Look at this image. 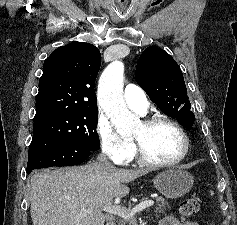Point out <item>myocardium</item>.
Returning a JSON list of instances; mask_svg holds the SVG:
<instances>
[{
    "mask_svg": "<svg viewBox=\"0 0 237 225\" xmlns=\"http://www.w3.org/2000/svg\"><path fill=\"white\" fill-rule=\"evenodd\" d=\"M142 125L146 129H150L157 125H168V126L173 127L182 138L183 150L180 153V155L176 157L175 159L168 160V161H160V160H155L146 156L141 145L136 140H133L134 156L138 160V162L147 166H152V167H170L184 160V158L187 156L189 152L190 141H189L187 133L178 122L169 118H165V117H153V118L144 120L142 122Z\"/></svg>",
    "mask_w": 237,
    "mask_h": 225,
    "instance_id": "f54148a6",
    "label": "myocardium"
}]
</instances>
